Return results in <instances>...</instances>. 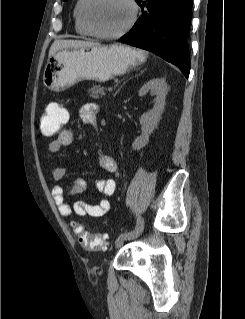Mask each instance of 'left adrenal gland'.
<instances>
[{
  "mask_svg": "<svg viewBox=\"0 0 245 319\" xmlns=\"http://www.w3.org/2000/svg\"><path fill=\"white\" fill-rule=\"evenodd\" d=\"M143 72H144V70L140 71V73H139V74H136L134 77H136V76H138V75H141ZM125 83H126V82H124L123 85H124ZM121 87H122V86H121ZM121 87L118 89V91L121 89ZM118 91H117V92H118Z\"/></svg>",
  "mask_w": 245,
  "mask_h": 319,
  "instance_id": "left-adrenal-gland-1",
  "label": "left adrenal gland"
}]
</instances>
